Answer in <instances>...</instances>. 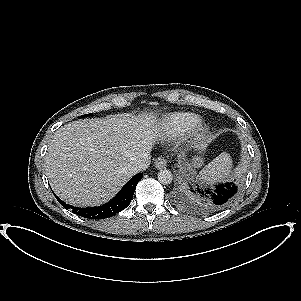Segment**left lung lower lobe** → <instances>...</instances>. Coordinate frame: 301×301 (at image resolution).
I'll use <instances>...</instances> for the list:
<instances>
[{"label": "left lung lower lobe", "mask_w": 301, "mask_h": 301, "mask_svg": "<svg viewBox=\"0 0 301 301\" xmlns=\"http://www.w3.org/2000/svg\"><path fill=\"white\" fill-rule=\"evenodd\" d=\"M239 185L233 182L216 186L214 190H191L195 195L187 193L190 204L200 210L215 211L230 204L237 195Z\"/></svg>", "instance_id": "1"}]
</instances>
